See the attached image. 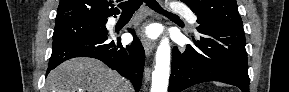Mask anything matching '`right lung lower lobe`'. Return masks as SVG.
<instances>
[{
	"label": "right lung lower lobe",
	"instance_id": "98d812e1",
	"mask_svg": "<svg viewBox=\"0 0 289 92\" xmlns=\"http://www.w3.org/2000/svg\"><path fill=\"white\" fill-rule=\"evenodd\" d=\"M132 44L122 46L121 40L110 41L107 35L72 41L52 49L46 75L62 62L74 57H92L103 61L113 70L128 78L139 91L144 70V48L135 36Z\"/></svg>",
	"mask_w": 289,
	"mask_h": 92
}]
</instances>
